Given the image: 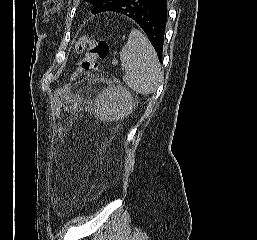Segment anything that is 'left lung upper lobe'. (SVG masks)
Listing matches in <instances>:
<instances>
[{
    "label": "left lung upper lobe",
    "mask_w": 257,
    "mask_h": 240,
    "mask_svg": "<svg viewBox=\"0 0 257 240\" xmlns=\"http://www.w3.org/2000/svg\"><path fill=\"white\" fill-rule=\"evenodd\" d=\"M92 6V14L96 15L102 12H106L110 8L119 4L122 0H86Z\"/></svg>",
    "instance_id": "5c2ea615"
}]
</instances>
